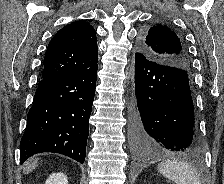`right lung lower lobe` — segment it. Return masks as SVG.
Returning <instances> with one entry per match:
<instances>
[{"mask_svg": "<svg viewBox=\"0 0 224 184\" xmlns=\"http://www.w3.org/2000/svg\"><path fill=\"white\" fill-rule=\"evenodd\" d=\"M98 65L73 74L41 79L20 142L21 163L52 152L84 163Z\"/></svg>", "mask_w": 224, "mask_h": 184, "instance_id": "obj_1", "label": "right lung lower lobe"}]
</instances>
